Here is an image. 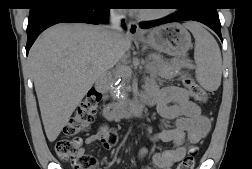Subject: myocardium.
I'll use <instances>...</instances> for the list:
<instances>
[{"label": "myocardium", "mask_w": 252, "mask_h": 169, "mask_svg": "<svg viewBox=\"0 0 252 169\" xmlns=\"http://www.w3.org/2000/svg\"><path fill=\"white\" fill-rule=\"evenodd\" d=\"M138 17L143 20H153L158 19L164 15L163 11H157V12H143L139 11L137 13Z\"/></svg>", "instance_id": "f54148a6"}]
</instances>
